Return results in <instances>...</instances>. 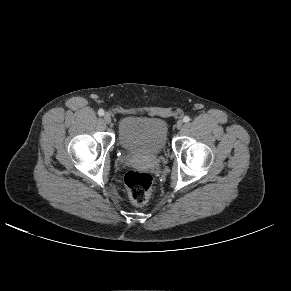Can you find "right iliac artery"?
<instances>
[{"label":"right iliac artery","mask_w":291,"mask_h":291,"mask_svg":"<svg viewBox=\"0 0 291 291\" xmlns=\"http://www.w3.org/2000/svg\"><path fill=\"white\" fill-rule=\"evenodd\" d=\"M98 115H99V116H103V115H104V110H103V109H100V110L98 111Z\"/></svg>","instance_id":"1"}]
</instances>
